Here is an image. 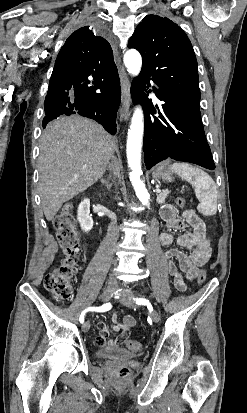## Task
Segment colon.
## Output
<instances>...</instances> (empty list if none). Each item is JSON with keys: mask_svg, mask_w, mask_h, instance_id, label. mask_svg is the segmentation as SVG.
Wrapping results in <instances>:
<instances>
[{"mask_svg": "<svg viewBox=\"0 0 247 413\" xmlns=\"http://www.w3.org/2000/svg\"><path fill=\"white\" fill-rule=\"evenodd\" d=\"M175 204L177 207H184L186 200L184 197L177 198ZM54 228L57 241L61 246L62 259L61 262L53 267L44 277L43 285L57 301L66 302L73 297L71 282L79 251V235L75 230V214L72 205L67 204L64 209L57 214L54 219ZM205 277L206 273L205 270H203L199 272L197 281L203 283ZM125 344L132 351H138L140 349V343L137 340H125ZM115 379L116 381H129L130 374L128 369H119L115 374Z\"/></svg>", "mask_w": 247, "mask_h": 413, "instance_id": "5ec220e1", "label": "colon"}]
</instances>
